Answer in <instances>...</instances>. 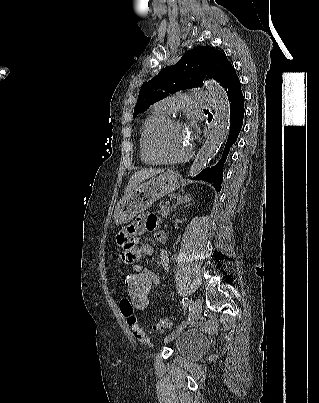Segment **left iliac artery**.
I'll use <instances>...</instances> for the list:
<instances>
[{
  "mask_svg": "<svg viewBox=\"0 0 319 403\" xmlns=\"http://www.w3.org/2000/svg\"><path fill=\"white\" fill-rule=\"evenodd\" d=\"M182 303H183V306L187 307L188 304H189L188 298H187V297L183 298V299H182Z\"/></svg>",
  "mask_w": 319,
  "mask_h": 403,
  "instance_id": "obj_1",
  "label": "left iliac artery"
}]
</instances>
